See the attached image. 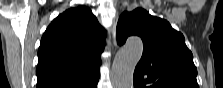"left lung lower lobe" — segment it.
Masks as SVG:
<instances>
[{"label": "left lung lower lobe", "instance_id": "obj_1", "mask_svg": "<svg viewBox=\"0 0 223 88\" xmlns=\"http://www.w3.org/2000/svg\"><path fill=\"white\" fill-rule=\"evenodd\" d=\"M134 88H138L136 85H134Z\"/></svg>", "mask_w": 223, "mask_h": 88}]
</instances>
